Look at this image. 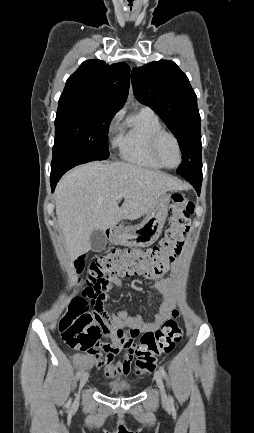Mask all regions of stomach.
I'll return each mask as SVG.
<instances>
[{"instance_id":"obj_1","label":"stomach","mask_w":254,"mask_h":433,"mask_svg":"<svg viewBox=\"0 0 254 433\" xmlns=\"http://www.w3.org/2000/svg\"><path fill=\"white\" fill-rule=\"evenodd\" d=\"M169 203L170 196L162 194L140 224L112 229L108 235L109 241L115 245L128 247L150 246L162 232L168 215Z\"/></svg>"}]
</instances>
